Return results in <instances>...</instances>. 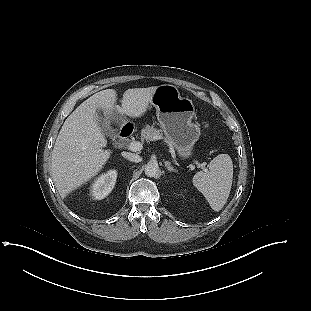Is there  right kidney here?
I'll return each instance as SVG.
<instances>
[{
  "label": "right kidney",
  "instance_id": "1",
  "mask_svg": "<svg viewBox=\"0 0 311 311\" xmlns=\"http://www.w3.org/2000/svg\"><path fill=\"white\" fill-rule=\"evenodd\" d=\"M116 176H101L96 179L90 189V193L95 200H101L109 195L114 188Z\"/></svg>",
  "mask_w": 311,
  "mask_h": 311
}]
</instances>
